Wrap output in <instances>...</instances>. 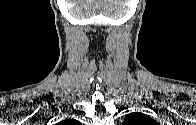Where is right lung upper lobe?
Wrapping results in <instances>:
<instances>
[{
    "instance_id": "right-lung-upper-lobe-1",
    "label": "right lung upper lobe",
    "mask_w": 196,
    "mask_h": 125,
    "mask_svg": "<svg viewBox=\"0 0 196 125\" xmlns=\"http://www.w3.org/2000/svg\"><path fill=\"white\" fill-rule=\"evenodd\" d=\"M73 121L72 120H65L63 123L64 124H69V123H72Z\"/></svg>"
}]
</instances>
